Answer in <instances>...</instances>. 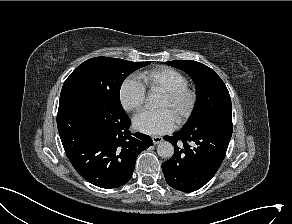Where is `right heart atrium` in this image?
I'll list each match as a JSON object with an SVG mask.
<instances>
[{
    "label": "right heart atrium",
    "mask_w": 292,
    "mask_h": 224,
    "mask_svg": "<svg viewBox=\"0 0 292 224\" xmlns=\"http://www.w3.org/2000/svg\"><path fill=\"white\" fill-rule=\"evenodd\" d=\"M119 100L126 111L141 109L145 102L146 90L144 85L133 77L126 78L119 87Z\"/></svg>",
    "instance_id": "1"
}]
</instances>
